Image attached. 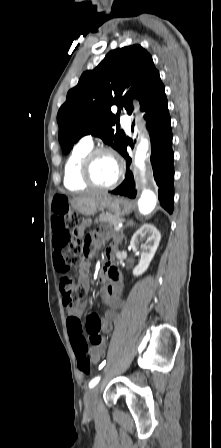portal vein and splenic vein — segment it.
<instances>
[{"mask_svg":"<svg viewBox=\"0 0 221 448\" xmlns=\"http://www.w3.org/2000/svg\"><path fill=\"white\" fill-rule=\"evenodd\" d=\"M122 226H123L122 223L117 224V225L115 226V230H116V231H119V230L122 228Z\"/></svg>","mask_w":221,"mask_h":448,"instance_id":"portal-vein-and-splenic-vein-1","label":"portal vein and splenic vein"}]
</instances>
